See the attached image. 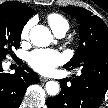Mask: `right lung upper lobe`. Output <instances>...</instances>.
I'll return each mask as SVG.
<instances>
[{
  "label": "right lung upper lobe",
  "mask_w": 108,
  "mask_h": 108,
  "mask_svg": "<svg viewBox=\"0 0 108 108\" xmlns=\"http://www.w3.org/2000/svg\"><path fill=\"white\" fill-rule=\"evenodd\" d=\"M8 4H16L20 8L22 14L27 19H29L33 15V13H34V10L33 9L27 7L25 4H23L21 2L9 1V2L2 3L0 6H5V5H8Z\"/></svg>",
  "instance_id": "cb5924a9"
}]
</instances>
